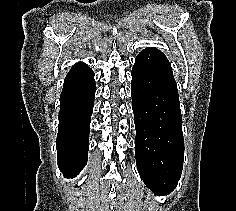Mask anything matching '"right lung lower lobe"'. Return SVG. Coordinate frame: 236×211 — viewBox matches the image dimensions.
<instances>
[{
	"label": "right lung lower lobe",
	"mask_w": 236,
	"mask_h": 211,
	"mask_svg": "<svg viewBox=\"0 0 236 211\" xmlns=\"http://www.w3.org/2000/svg\"><path fill=\"white\" fill-rule=\"evenodd\" d=\"M95 92L94 72L89 67L69 72L64 80L57 150L58 166L65 177H75L87 162Z\"/></svg>",
	"instance_id": "obj_1"
}]
</instances>
